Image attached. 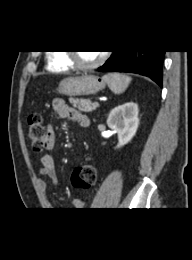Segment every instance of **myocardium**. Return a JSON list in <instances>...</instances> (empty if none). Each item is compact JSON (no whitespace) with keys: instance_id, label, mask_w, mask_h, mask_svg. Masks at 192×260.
Returning <instances> with one entry per match:
<instances>
[{"instance_id":"1","label":"myocardium","mask_w":192,"mask_h":260,"mask_svg":"<svg viewBox=\"0 0 192 260\" xmlns=\"http://www.w3.org/2000/svg\"><path fill=\"white\" fill-rule=\"evenodd\" d=\"M66 57L74 68L81 70V71H91V70L98 68L105 62V60L107 58V53H103L99 57V59H97L95 62H93L91 64L81 63L80 60L78 59L77 53L75 51H67Z\"/></svg>"}]
</instances>
